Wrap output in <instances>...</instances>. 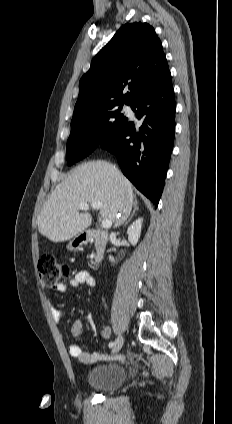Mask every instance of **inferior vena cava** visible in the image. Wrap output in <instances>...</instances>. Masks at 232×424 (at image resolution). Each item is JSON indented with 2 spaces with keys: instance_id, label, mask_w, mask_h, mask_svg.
Listing matches in <instances>:
<instances>
[{
  "instance_id": "602c4592",
  "label": "inferior vena cava",
  "mask_w": 232,
  "mask_h": 424,
  "mask_svg": "<svg viewBox=\"0 0 232 424\" xmlns=\"http://www.w3.org/2000/svg\"><path fill=\"white\" fill-rule=\"evenodd\" d=\"M132 203H133V197L132 196H129L128 201L126 203V206L119 213V215H118V217H117V219L115 221L114 227L120 226L128 218V216H129V214L131 212Z\"/></svg>"
}]
</instances>
